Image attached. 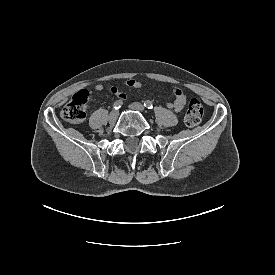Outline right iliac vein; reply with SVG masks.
<instances>
[{
  "label": "right iliac vein",
  "instance_id": "obj_1",
  "mask_svg": "<svg viewBox=\"0 0 275 275\" xmlns=\"http://www.w3.org/2000/svg\"><path fill=\"white\" fill-rule=\"evenodd\" d=\"M118 118V112L117 111H111L110 114H109V121L111 123L115 122Z\"/></svg>",
  "mask_w": 275,
  "mask_h": 275
}]
</instances>
